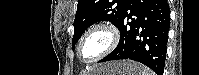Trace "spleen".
Wrapping results in <instances>:
<instances>
[{
  "label": "spleen",
  "instance_id": "spleen-1",
  "mask_svg": "<svg viewBox=\"0 0 199 75\" xmlns=\"http://www.w3.org/2000/svg\"><path fill=\"white\" fill-rule=\"evenodd\" d=\"M141 74L142 75H154V73L149 68H146V67L143 68Z\"/></svg>",
  "mask_w": 199,
  "mask_h": 75
}]
</instances>
